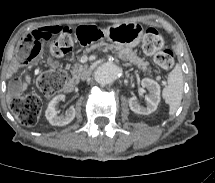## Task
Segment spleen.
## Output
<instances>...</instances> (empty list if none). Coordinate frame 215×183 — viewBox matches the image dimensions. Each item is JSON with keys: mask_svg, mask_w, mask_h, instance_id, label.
<instances>
[{"mask_svg": "<svg viewBox=\"0 0 215 183\" xmlns=\"http://www.w3.org/2000/svg\"><path fill=\"white\" fill-rule=\"evenodd\" d=\"M183 87V73L181 67L176 65L168 75L167 86L162 90V97L169 105L170 115H173L181 104Z\"/></svg>", "mask_w": 215, "mask_h": 183, "instance_id": "obj_1", "label": "spleen"}]
</instances>
